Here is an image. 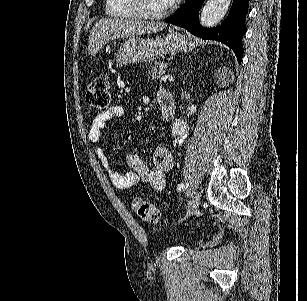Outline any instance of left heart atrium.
<instances>
[{"label": "left heart atrium", "instance_id": "39dd6f15", "mask_svg": "<svg viewBox=\"0 0 307 301\" xmlns=\"http://www.w3.org/2000/svg\"><path fill=\"white\" fill-rule=\"evenodd\" d=\"M168 1V4H182L183 0H164Z\"/></svg>", "mask_w": 307, "mask_h": 301}]
</instances>
